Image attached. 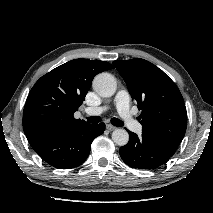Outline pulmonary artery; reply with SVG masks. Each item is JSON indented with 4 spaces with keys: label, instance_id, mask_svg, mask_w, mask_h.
Returning a JSON list of instances; mask_svg holds the SVG:
<instances>
[{
    "label": "pulmonary artery",
    "instance_id": "pulmonary-artery-1",
    "mask_svg": "<svg viewBox=\"0 0 213 213\" xmlns=\"http://www.w3.org/2000/svg\"><path fill=\"white\" fill-rule=\"evenodd\" d=\"M130 97L126 90H120L114 100L118 114L122 118L124 124L133 132L141 133L142 126L132 116L129 106ZM107 106L90 107L85 110L88 115H100L107 111Z\"/></svg>",
    "mask_w": 213,
    "mask_h": 213
}]
</instances>
